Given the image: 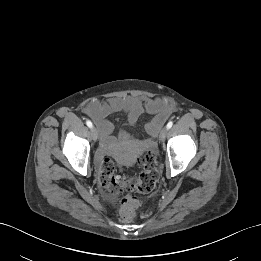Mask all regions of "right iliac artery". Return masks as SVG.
<instances>
[{
	"mask_svg": "<svg viewBox=\"0 0 261 261\" xmlns=\"http://www.w3.org/2000/svg\"><path fill=\"white\" fill-rule=\"evenodd\" d=\"M86 124H87V126H88L89 128H92V127H93L92 122H91L90 120H87V121H86Z\"/></svg>",
	"mask_w": 261,
	"mask_h": 261,
	"instance_id": "1",
	"label": "right iliac artery"
}]
</instances>
